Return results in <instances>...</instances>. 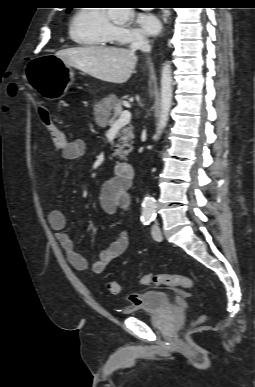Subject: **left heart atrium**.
I'll return each instance as SVG.
<instances>
[{"label": "left heart atrium", "instance_id": "39dd6f15", "mask_svg": "<svg viewBox=\"0 0 255 387\" xmlns=\"http://www.w3.org/2000/svg\"><path fill=\"white\" fill-rule=\"evenodd\" d=\"M139 30L146 35H156L161 29L159 19L151 13H140L136 17Z\"/></svg>", "mask_w": 255, "mask_h": 387}]
</instances>
